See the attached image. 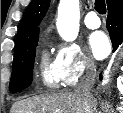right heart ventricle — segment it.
<instances>
[{"instance_id": "e07e8e85", "label": "right heart ventricle", "mask_w": 123, "mask_h": 113, "mask_svg": "<svg viewBox=\"0 0 123 113\" xmlns=\"http://www.w3.org/2000/svg\"><path fill=\"white\" fill-rule=\"evenodd\" d=\"M40 70L42 82L46 86L54 88L60 85L59 78L55 71L54 62H49L46 55H43L42 57Z\"/></svg>"}]
</instances>
